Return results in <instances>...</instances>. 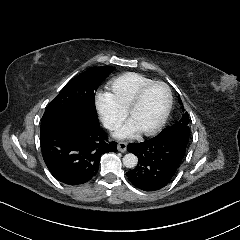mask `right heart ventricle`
<instances>
[{
    "mask_svg": "<svg viewBox=\"0 0 240 240\" xmlns=\"http://www.w3.org/2000/svg\"><path fill=\"white\" fill-rule=\"evenodd\" d=\"M152 82L151 79L134 72H127L117 76L106 84L108 92L113 103L122 111H125L132 102L137 91L145 84Z\"/></svg>",
    "mask_w": 240,
    "mask_h": 240,
    "instance_id": "e07e8e85",
    "label": "right heart ventricle"
}]
</instances>
